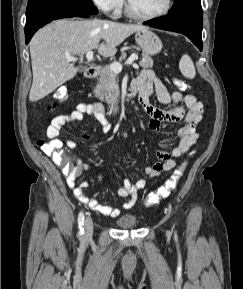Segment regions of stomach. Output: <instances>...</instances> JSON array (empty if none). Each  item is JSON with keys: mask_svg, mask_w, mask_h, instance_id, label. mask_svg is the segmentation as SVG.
<instances>
[{"mask_svg": "<svg viewBox=\"0 0 243 289\" xmlns=\"http://www.w3.org/2000/svg\"><path fill=\"white\" fill-rule=\"evenodd\" d=\"M135 40L141 49L148 55L159 53L163 47L161 39L148 28L137 31Z\"/></svg>", "mask_w": 243, "mask_h": 289, "instance_id": "1", "label": "stomach"}]
</instances>
